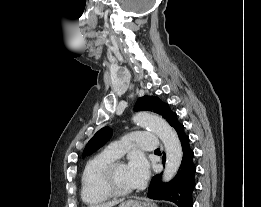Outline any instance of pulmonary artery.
<instances>
[{
	"instance_id": "e3ab8cb5",
	"label": "pulmonary artery",
	"mask_w": 261,
	"mask_h": 207,
	"mask_svg": "<svg viewBox=\"0 0 261 207\" xmlns=\"http://www.w3.org/2000/svg\"><path fill=\"white\" fill-rule=\"evenodd\" d=\"M131 145L145 151H154L159 148L160 142L158 137L152 132L136 131L121 141L109 144L105 151L115 158H120Z\"/></svg>"
}]
</instances>
